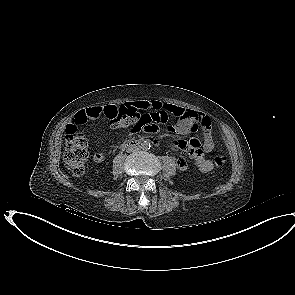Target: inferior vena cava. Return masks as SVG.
Wrapping results in <instances>:
<instances>
[{
    "label": "inferior vena cava",
    "instance_id": "obj_1",
    "mask_svg": "<svg viewBox=\"0 0 295 295\" xmlns=\"http://www.w3.org/2000/svg\"><path fill=\"white\" fill-rule=\"evenodd\" d=\"M136 150H138L137 147H129V148L127 149V152L130 153V152H133V151H136Z\"/></svg>",
    "mask_w": 295,
    "mask_h": 295
}]
</instances>
